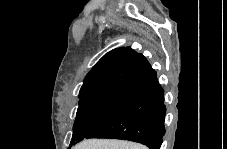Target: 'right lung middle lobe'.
I'll list each match as a JSON object with an SVG mask.
<instances>
[{
    "mask_svg": "<svg viewBox=\"0 0 227 149\" xmlns=\"http://www.w3.org/2000/svg\"><path fill=\"white\" fill-rule=\"evenodd\" d=\"M135 91L136 88L109 85L81 97L70 146L86 139L91 132L110 120Z\"/></svg>",
    "mask_w": 227,
    "mask_h": 149,
    "instance_id": "obj_1",
    "label": "right lung middle lobe"
}]
</instances>
